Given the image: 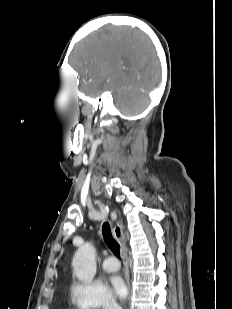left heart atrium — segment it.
Listing matches in <instances>:
<instances>
[{"label":"left heart atrium","instance_id":"39dd6f15","mask_svg":"<svg viewBox=\"0 0 232 309\" xmlns=\"http://www.w3.org/2000/svg\"><path fill=\"white\" fill-rule=\"evenodd\" d=\"M111 289L116 297L125 299L128 294V287L125 280L119 275L110 278Z\"/></svg>","mask_w":232,"mask_h":309}]
</instances>
